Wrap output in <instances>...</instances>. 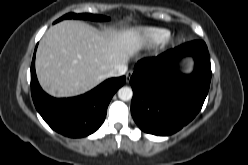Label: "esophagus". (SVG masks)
<instances>
[{
  "instance_id": "1",
  "label": "esophagus",
  "mask_w": 248,
  "mask_h": 165,
  "mask_svg": "<svg viewBox=\"0 0 248 165\" xmlns=\"http://www.w3.org/2000/svg\"><path fill=\"white\" fill-rule=\"evenodd\" d=\"M132 74H133V71H131V70L128 71V72L126 73V81H127V82H129V80H130Z\"/></svg>"
}]
</instances>
